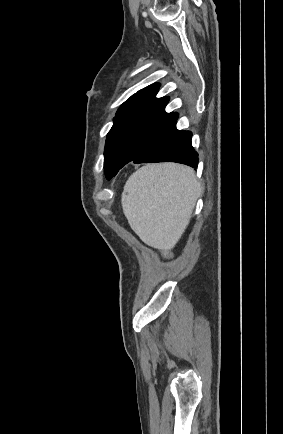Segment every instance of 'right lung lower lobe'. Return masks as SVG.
Listing matches in <instances>:
<instances>
[{"label": "right lung lower lobe", "instance_id": "right-lung-lower-lobe-1", "mask_svg": "<svg viewBox=\"0 0 283 434\" xmlns=\"http://www.w3.org/2000/svg\"><path fill=\"white\" fill-rule=\"evenodd\" d=\"M192 133L176 129V124L153 141L134 163L178 162L198 166V153L191 143Z\"/></svg>", "mask_w": 283, "mask_h": 434}]
</instances>
